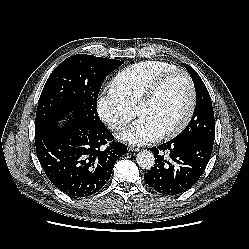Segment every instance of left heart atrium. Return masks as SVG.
Segmentation results:
<instances>
[{
	"label": "left heart atrium",
	"instance_id": "1",
	"mask_svg": "<svg viewBox=\"0 0 249 249\" xmlns=\"http://www.w3.org/2000/svg\"><path fill=\"white\" fill-rule=\"evenodd\" d=\"M163 135V131L151 119L140 116L121 138L131 144L143 145L158 140Z\"/></svg>",
	"mask_w": 249,
	"mask_h": 249
}]
</instances>
